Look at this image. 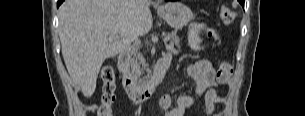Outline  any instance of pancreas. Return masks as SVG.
<instances>
[{"label":"pancreas","instance_id":"pancreas-1","mask_svg":"<svg viewBox=\"0 0 305 116\" xmlns=\"http://www.w3.org/2000/svg\"><path fill=\"white\" fill-rule=\"evenodd\" d=\"M168 36L170 37V43L168 45L169 49L174 50V45L179 47V38L176 35V33H171L168 34ZM194 50H199L198 46H193ZM177 52V51H175ZM141 65L143 67H145V60L143 55L138 52L137 49H133L131 50V58L129 60V65L127 66V73L128 75L131 77V79L133 81H135L136 83L140 84L142 83V79L140 78L141 74H142V69H141Z\"/></svg>","mask_w":305,"mask_h":116}]
</instances>
